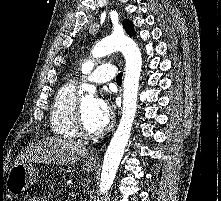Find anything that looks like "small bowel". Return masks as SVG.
Instances as JSON below:
<instances>
[{"label": "small bowel", "instance_id": "obj_1", "mask_svg": "<svg viewBox=\"0 0 221 201\" xmlns=\"http://www.w3.org/2000/svg\"><path fill=\"white\" fill-rule=\"evenodd\" d=\"M29 201H47L45 197L41 195L33 196Z\"/></svg>", "mask_w": 221, "mask_h": 201}]
</instances>
